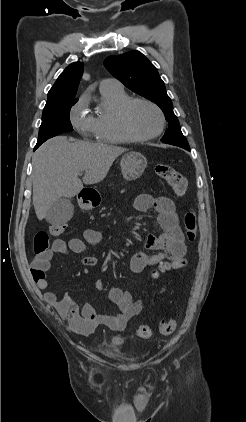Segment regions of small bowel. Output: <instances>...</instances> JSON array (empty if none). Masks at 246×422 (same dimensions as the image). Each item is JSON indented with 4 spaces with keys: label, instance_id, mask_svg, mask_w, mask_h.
Listing matches in <instances>:
<instances>
[{
    "label": "small bowel",
    "instance_id": "1",
    "mask_svg": "<svg viewBox=\"0 0 246 422\" xmlns=\"http://www.w3.org/2000/svg\"><path fill=\"white\" fill-rule=\"evenodd\" d=\"M134 207L139 212H146L153 208L157 213L155 225L162 232L158 236L151 234L147 237L145 249L148 252L141 251L131 257V270L135 273H141L146 268L162 264L165 261L185 259L187 247L173 200L165 196L153 197L149 194H140L135 200ZM102 237V231L87 229L83 233V238H72L68 242L62 239L54 240L49 251L32 265L43 271V277L33 279L36 286L42 290L47 288L48 282L45 273L49 270L50 261L55 254H67L69 252L81 254L85 252L88 245L99 243ZM79 262L84 267H94L98 260L93 256H85ZM94 289L97 291L103 290L104 282L101 279L96 280ZM109 297L118 307L119 313L114 315L100 314L89 303L80 308L68 294H65L61 299L54 292L48 291L43 294L44 300L52 305L62 318L68 319L72 330L82 335L91 334L101 325L113 331H123L128 321L143 309V302L134 300L125 289L111 287Z\"/></svg>",
    "mask_w": 246,
    "mask_h": 422
}]
</instances>
